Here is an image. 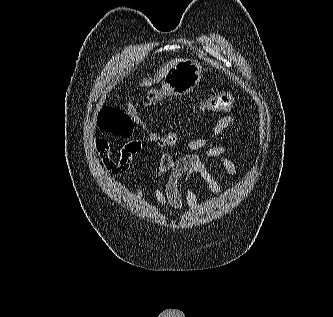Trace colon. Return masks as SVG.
Wrapping results in <instances>:
<instances>
[{
	"label": "colon",
	"instance_id": "obj_1",
	"mask_svg": "<svg viewBox=\"0 0 333 317\" xmlns=\"http://www.w3.org/2000/svg\"><path fill=\"white\" fill-rule=\"evenodd\" d=\"M235 103V97L229 92H222L210 97L200 104V109L215 113H227ZM98 127L110 134L129 137L132 135L134 126L142 125L143 122L133 104L125 107H103L98 114ZM153 140L161 147H172L177 142L174 133L165 135H153Z\"/></svg>",
	"mask_w": 333,
	"mask_h": 317
}]
</instances>
